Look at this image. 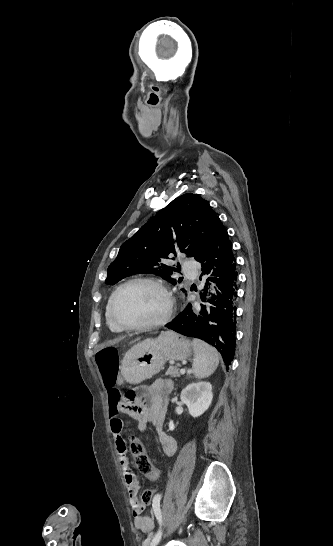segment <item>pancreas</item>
Masks as SVG:
<instances>
[{
	"instance_id": "obj_1",
	"label": "pancreas",
	"mask_w": 333,
	"mask_h": 546,
	"mask_svg": "<svg viewBox=\"0 0 333 546\" xmlns=\"http://www.w3.org/2000/svg\"><path fill=\"white\" fill-rule=\"evenodd\" d=\"M178 370H179L178 365L170 366L168 368V370L166 371V375L171 376V377H179L180 374H179Z\"/></svg>"
}]
</instances>
